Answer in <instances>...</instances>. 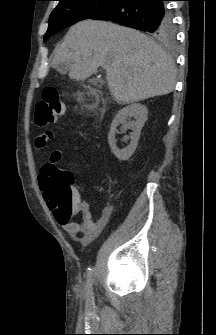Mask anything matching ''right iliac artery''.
<instances>
[{"instance_id":"82829eb1","label":"right iliac artery","mask_w":216,"mask_h":335,"mask_svg":"<svg viewBox=\"0 0 216 335\" xmlns=\"http://www.w3.org/2000/svg\"><path fill=\"white\" fill-rule=\"evenodd\" d=\"M92 269L89 268L88 272V278H87V284H88V302L92 303L93 302V293H92Z\"/></svg>"}]
</instances>
